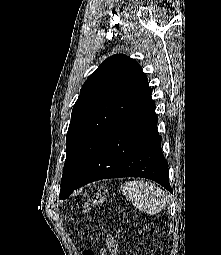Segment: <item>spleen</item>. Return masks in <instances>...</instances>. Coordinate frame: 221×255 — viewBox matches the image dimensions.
Segmentation results:
<instances>
[{
    "label": "spleen",
    "mask_w": 221,
    "mask_h": 255,
    "mask_svg": "<svg viewBox=\"0 0 221 255\" xmlns=\"http://www.w3.org/2000/svg\"><path fill=\"white\" fill-rule=\"evenodd\" d=\"M121 189L134 206L146 214L161 212L169 202L167 192L148 181H128Z\"/></svg>",
    "instance_id": "1"
}]
</instances>
